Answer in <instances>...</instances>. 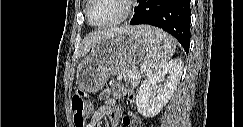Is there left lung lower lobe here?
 Wrapping results in <instances>:
<instances>
[{"instance_id": "obj_1", "label": "left lung lower lobe", "mask_w": 243, "mask_h": 127, "mask_svg": "<svg viewBox=\"0 0 243 127\" xmlns=\"http://www.w3.org/2000/svg\"><path fill=\"white\" fill-rule=\"evenodd\" d=\"M132 25L149 24L167 31L183 46L190 45V0H138Z\"/></svg>"}]
</instances>
